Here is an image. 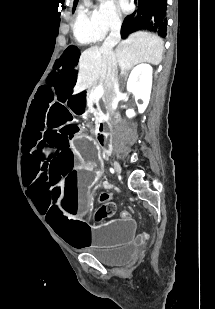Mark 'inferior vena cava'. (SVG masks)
I'll list each match as a JSON object with an SVG mask.
<instances>
[{
    "label": "inferior vena cava",
    "mask_w": 215,
    "mask_h": 309,
    "mask_svg": "<svg viewBox=\"0 0 215 309\" xmlns=\"http://www.w3.org/2000/svg\"><path fill=\"white\" fill-rule=\"evenodd\" d=\"M120 18H115L111 22V32L107 38H105L101 50L105 52L107 72L105 76V100L106 108L109 112V116H113L118 102L120 100V90H119V80H118V68H117V58L113 50V46L118 44L121 40L120 28H121Z\"/></svg>",
    "instance_id": "inferior-vena-cava-1"
}]
</instances>
